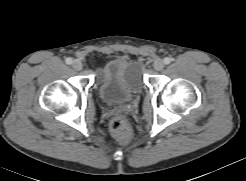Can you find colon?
<instances>
[{
  "mask_svg": "<svg viewBox=\"0 0 246 181\" xmlns=\"http://www.w3.org/2000/svg\"><path fill=\"white\" fill-rule=\"evenodd\" d=\"M111 132L120 139H127L131 134V126L123 116H116L110 122Z\"/></svg>",
  "mask_w": 246,
  "mask_h": 181,
  "instance_id": "5ec220e1",
  "label": "colon"
}]
</instances>
